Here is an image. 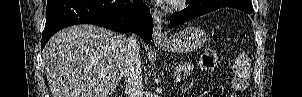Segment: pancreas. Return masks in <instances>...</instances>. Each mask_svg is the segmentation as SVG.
<instances>
[{"instance_id": "cf45deb5", "label": "pancreas", "mask_w": 302, "mask_h": 97, "mask_svg": "<svg viewBox=\"0 0 302 97\" xmlns=\"http://www.w3.org/2000/svg\"><path fill=\"white\" fill-rule=\"evenodd\" d=\"M194 69V65L189 62L180 63L178 65V73L183 74L184 76H189Z\"/></svg>"}]
</instances>
